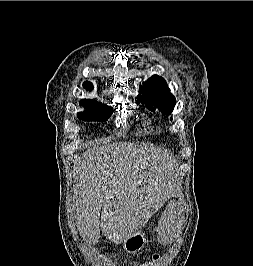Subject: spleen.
<instances>
[{"label":"spleen","instance_id":"1","mask_svg":"<svg viewBox=\"0 0 253 266\" xmlns=\"http://www.w3.org/2000/svg\"><path fill=\"white\" fill-rule=\"evenodd\" d=\"M158 227V233L162 235L163 242H176L181 227L179 208L171 207L170 210L165 211V215H160Z\"/></svg>","mask_w":253,"mask_h":266}]
</instances>
